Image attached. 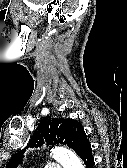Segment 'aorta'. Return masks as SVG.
Masks as SVG:
<instances>
[{
	"label": "aorta",
	"mask_w": 127,
	"mask_h": 168,
	"mask_svg": "<svg viewBox=\"0 0 127 168\" xmlns=\"http://www.w3.org/2000/svg\"><path fill=\"white\" fill-rule=\"evenodd\" d=\"M51 153L54 160L58 161L63 168H84L79 157L67 148L55 147Z\"/></svg>",
	"instance_id": "obj_1"
}]
</instances>
